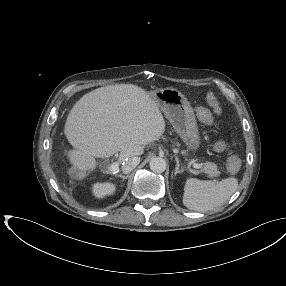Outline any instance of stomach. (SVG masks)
<instances>
[{
    "mask_svg": "<svg viewBox=\"0 0 286 286\" xmlns=\"http://www.w3.org/2000/svg\"><path fill=\"white\" fill-rule=\"evenodd\" d=\"M152 94L188 150L195 153L200 146V135L193 108L187 98L174 88L158 89Z\"/></svg>",
    "mask_w": 286,
    "mask_h": 286,
    "instance_id": "0dacf381",
    "label": "stomach"
}]
</instances>
